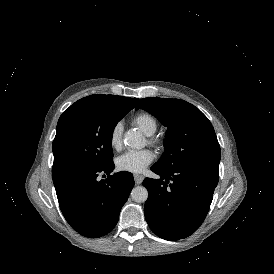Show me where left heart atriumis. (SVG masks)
Segmentation results:
<instances>
[{
	"label": "left heart atrium",
	"mask_w": 274,
	"mask_h": 274,
	"mask_svg": "<svg viewBox=\"0 0 274 274\" xmlns=\"http://www.w3.org/2000/svg\"><path fill=\"white\" fill-rule=\"evenodd\" d=\"M153 156L148 150L126 152L116 158V167L120 171L141 172L152 162Z\"/></svg>",
	"instance_id": "39dd6f15"
}]
</instances>
